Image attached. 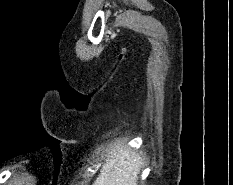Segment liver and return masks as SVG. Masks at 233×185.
Wrapping results in <instances>:
<instances>
[{
  "mask_svg": "<svg viewBox=\"0 0 233 185\" xmlns=\"http://www.w3.org/2000/svg\"><path fill=\"white\" fill-rule=\"evenodd\" d=\"M144 158L124 145L111 150L92 185H137Z\"/></svg>",
  "mask_w": 233,
  "mask_h": 185,
  "instance_id": "6515ba94",
  "label": "liver"
}]
</instances>
